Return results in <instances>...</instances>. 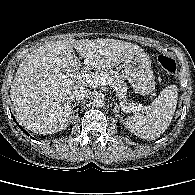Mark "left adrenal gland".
Here are the masks:
<instances>
[{
    "mask_svg": "<svg viewBox=\"0 0 195 195\" xmlns=\"http://www.w3.org/2000/svg\"><path fill=\"white\" fill-rule=\"evenodd\" d=\"M113 101H115L114 99H113ZM119 109H120V107L118 106V104H117V102H114V113H119Z\"/></svg>",
    "mask_w": 195,
    "mask_h": 195,
    "instance_id": "left-adrenal-gland-1",
    "label": "left adrenal gland"
}]
</instances>
